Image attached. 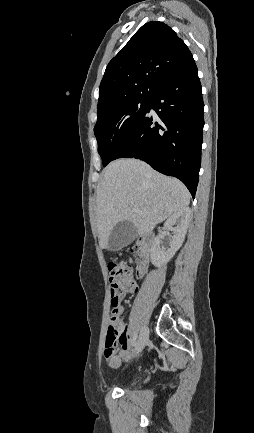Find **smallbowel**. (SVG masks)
Here are the masks:
<instances>
[{"instance_id": "1", "label": "small bowel", "mask_w": 254, "mask_h": 433, "mask_svg": "<svg viewBox=\"0 0 254 433\" xmlns=\"http://www.w3.org/2000/svg\"><path fill=\"white\" fill-rule=\"evenodd\" d=\"M111 293V292H110ZM115 295L118 298L119 302L124 299L126 292L123 291H115ZM120 312L123 311V308L120 306ZM121 324L123 325V333L119 344V351L117 353H113L111 355L105 354V359L109 366L111 367H118L121 362L128 361L131 357L130 348L134 344L133 341H130V336L128 332V325L124 324L121 321Z\"/></svg>"}]
</instances>
